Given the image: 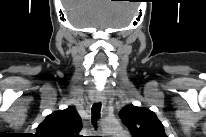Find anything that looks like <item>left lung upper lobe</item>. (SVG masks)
Listing matches in <instances>:
<instances>
[{"label":"left lung upper lobe","mask_w":206,"mask_h":137,"mask_svg":"<svg viewBox=\"0 0 206 137\" xmlns=\"http://www.w3.org/2000/svg\"><path fill=\"white\" fill-rule=\"evenodd\" d=\"M119 116L132 137H167L162 123L149 109L127 105Z\"/></svg>","instance_id":"obj_1"}]
</instances>
